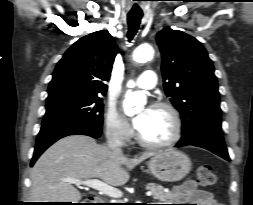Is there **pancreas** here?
Instances as JSON below:
<instances>
[{"label":"pancreas","mask_w":253,"mask_h":205,"mask_svg":"<svg viewBox=\"0 0 253 205\" xmlns=\"http://www.w3.org/2000/svg\"><path fill=\"white\" fill-rule=\"evenodd\" d=\"M146 188L152 192L153 198L158 201H168L171 198L170 193L164 192L163 186L155 183L147 184ZM111 203H121V202H111Z\"/></svg>","instance_id":"cf45deb5"}]
</instances>
